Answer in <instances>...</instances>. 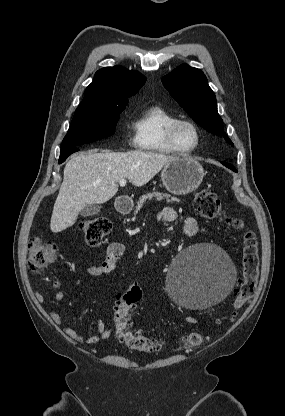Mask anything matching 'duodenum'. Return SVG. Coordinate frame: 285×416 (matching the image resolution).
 <instances>
[{
  "mask_svg": "<svg viewBox=\"0 0 285 416\" xmlns=\"http://www.w3.org/2000/svg\"><path fill=\"white\" fill-rule=\"evenodd\" d=\"M133 204V197H128L126 194H123L121 197H117L116 199V208L122 214L128 213Z\"/></svg>",
  "mask_w": 285,
  "mask_h": 416,
  "instance_id": "410a0bca",
  "label": "duodenum"
}]
</instances>
